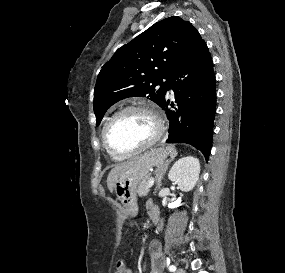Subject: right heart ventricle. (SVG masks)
Returning <instances> with one entry per match:
<instances>
[{
  "label": "right heart ventricle",
  "mask_w": 285,
  "mask_h": 273,
  "mask_svg": "<svg viewBox=\"0 0 285 273\" xmlns=\"http://www.w3.org/2000/svg\"><path fill=\"white\" fill-rule=\"evenodd\" d=\"M105 125V124H104ZM103 130V129H102ZM107 150V149H106ZM107 152L110 154V156L111 157H113V158H115V159H122L123 157H121V156H117V155H115V154H112V153H110L108 150H107Z\"/></svg>",
  "instance_id": "obj_1"
}]
</instances>
